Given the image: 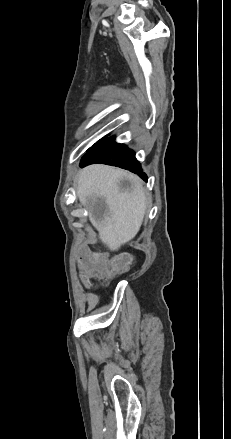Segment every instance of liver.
Segmentation results:
<instances>
[{
    "label": "liver",
    "mask_w": 231,
    "mask_h": 439,
    "mask_svg": "<svg viewBox=\"0 0 231 439\" xmlns=\"http://www.w3.org/2000/svg\"><path fill=\"white\" fill-rule=\"evenodd\" d=\"M123 179L131 182L129 190L121 189ZM77 195L84 202L98 196L105 199L106 210L100 218L92 213L91 220L100 240L111 251H117L140 230L147 199L136 175L102 164L88 166L78 174Z\"/></svg>",
    "instance_id": "liver-1"
}]
</instances>
